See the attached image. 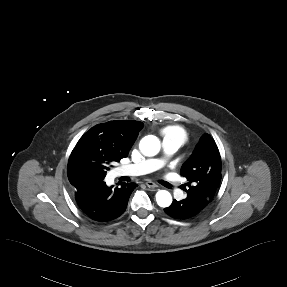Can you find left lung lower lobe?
I'll return each instance as SVG.
<instances>
[{
    "instance_id": "left-lung-lower-lobe-1",
    "label": "left lung lower lobe",
    "mask_w": 287,
    "mask_h": 287,
    "mask_svg": "<svg viewBox=\"0 0 287 287\" xmlns=\"http://www.w3.org/2000/svg\"><path fill=\"white\" fill-rule=\"evenodd\" d=\"M204 208L189 198L181 201L173 200L172 204L164 208V211L176 219H188L199 214Z\"/></svg>"
}]
</instances>
